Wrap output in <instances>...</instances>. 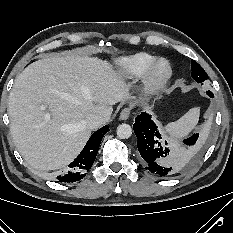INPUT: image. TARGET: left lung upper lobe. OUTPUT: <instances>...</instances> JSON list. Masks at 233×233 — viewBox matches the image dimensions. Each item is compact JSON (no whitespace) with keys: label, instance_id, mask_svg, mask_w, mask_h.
I'll list each match as a JSON object with an SVG mask.
<instances>
[{"label":"left lung upper lobe","instance_id":"1","mask_svg":"<svg viewBox=\"0 0 233 233\" xmlns=\"http://www.w3.org/2000/svg\"><path fill=\"white\" fill-rule=\"evenodd\" d=\"M191 70V76L195 81H197V83H202L208 79V76L204 69L194 60L191 61Z\"/></svg>","mask_w":233,"mask_h":233}]
</instances>
